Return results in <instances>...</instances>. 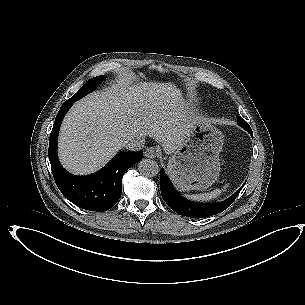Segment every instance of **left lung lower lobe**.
Returning a JSON list of instances; mask_svg holds the SVG:
<instances>
[{
	"mask_svg": "<svg viewBox=\"0 0 305 305\" xmlns=\"http://www.w3.org/2000/svg\"><path fill=\"white\" fill-rule=\"evenodd\" d=\"M160 189L161 194L164 199V201L167 203V205L176 213L180 215H184L185 209L187 204H193L200 206V215H198L200 218L212 216L218 213H221L226 208H228L232 202L236 199L237 195L239 194L240 190L237 191L234 195H232L227 200L215 203V204H198L190 202L186 199H184L173 187L170 180L166 176L163 169L160 171Z\"/></svg>",
	"mask_w": 305,
	"mask_h": 305,
	"instance_id": "left-lung-lower-lobe-1",
	"label": "left lung lower lobe"
}]
</instances>
